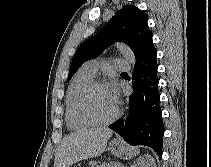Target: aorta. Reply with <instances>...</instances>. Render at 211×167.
Instances as JSON below:
<instances>
[{
  "mask_svg": "<svg viewBox=\"0 0 211 167\" xmlns=\"http://www.w3.org/2000/svg\"><path fill=\"white\" fill-rule=\"evenodd\" d=\"M116 48L123 54V56L129 61V63L134 67L136 60L132 50L123 43H117Z\"/></svg>",
  "mask_w": 211,
  "mask_h": 167,
  "instance_id": "1",
  "label": "aorta"
}]
</instances>
